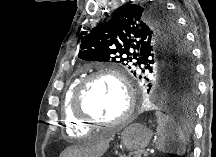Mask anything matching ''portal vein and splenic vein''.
<instances>
[{
	"label": "portal vein and splenic vein",
	"instance_id": "obj_1",
	"mask_svg": "<svg viewBox=\"0 0 216 157\" xmlns=\"http://www.w3.org/2000/svg\"><path fill=\"white\" fill-rule=\"evenodd\" d=\"M149 149L146 150V153H148Z\"/></svg>",
	"mask_w": 216,
	"mask_h": 157
}]
</instances>
